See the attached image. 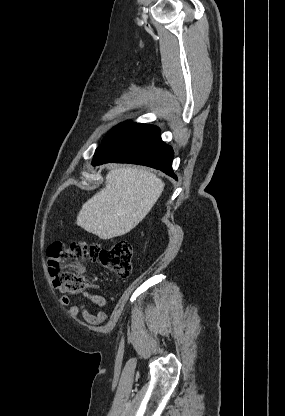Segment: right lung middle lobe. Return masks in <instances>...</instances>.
Here are the masks:
<instances>
[{"label": "right lung middle lobe", "instance_id": "obj_1", "mask_svg": "<svg viewBox=\"0 0 285 416\" xmlns=\"http://www.w3.org/2000/svg\"><path fill=\"white\" fill-rule=\"evenodd\" d=\"M134 124H136V123L131 122V121H126V122H123V123L117 125L106 135L105 139L107 140L108 138L112 137L113 135L117 134L118 132H120V131L134 125Z\"/></svg>", "mask_w": 285, "mask_h": 416}]
</instances>
